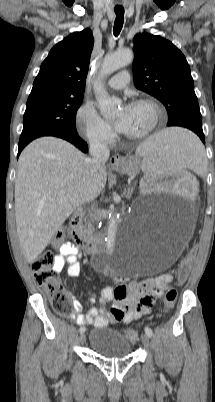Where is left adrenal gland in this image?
Segmentation results:
<instances>
[{
  "label": "left adrenal gland",
  "mask_w": 215,
  "mask_h": 402,
  "mask_svg": "<svg viewBox=\"0 0 215 402\" xmlns=\"http://www.w3.org/2000/svg\"><path fill=\"white\" fill-rule=\"evenodd\" d=\"M133 191H134V186L128 189H124V194L126 196L127 199H131L132 195H133Z\"/></svg>",
  "instance_id": "1"
}]
</instances>
